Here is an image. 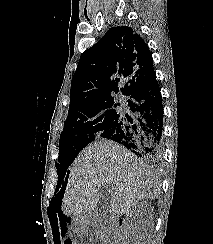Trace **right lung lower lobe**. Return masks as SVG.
Listing matches in <instances>:
<instances>
[{
  "label": "right lung lower lobe",
  "mask_w": 213,
  "mask_h": 244,
  "mask_svg": "<svg viewBox=\"0 0 213 244\" xmlns=\"http://www.w3.org/2000/svg\"><path fill=\"white\" fill-rule=\"evenodd\" d=\"M130 97L128 104L133 115L120 113L99 136L120 143L137 156L157 164L163 149V106L154 70Z\"/></svg>",
  "instance_id": "right-lung-lower-lobe-1"
}]
</instances>
